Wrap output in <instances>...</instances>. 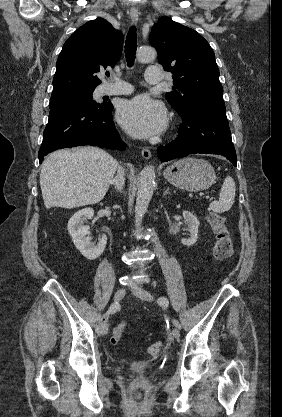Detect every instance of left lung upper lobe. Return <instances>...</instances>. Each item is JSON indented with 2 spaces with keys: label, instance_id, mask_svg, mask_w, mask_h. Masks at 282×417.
I'll return each instance as SVG.
<instances>
[{
  "label": "left lung upper lobe",
  "instance_id": "obj_1",
  "mask_svg": "<svg viewBox=\"0 0 282 417\" xmlns=\"http://www.w3.org/2000/svg\"><path fill=\"white\" fill-rule=\"evenodd\" d=\"M149 41L164 70L173 74L174 91L166 93V99L177 112L196 97H222L214 52L198 32L163 16L152 27Z\"/></svg>",
  "mask_w": 282,
  "mask_h": 417
}]
</instances>
